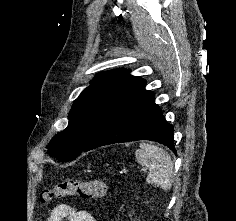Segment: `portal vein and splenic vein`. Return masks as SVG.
I'll list each match as a JSON object with an SVG mask.
<instances>
[{"instance_id": "portal-vein-and-splenic-vein-1", "label": "portal vein and splenic vein", "mask_w": 236, "mask_h": 221, "mask_svg": "<svg viewBox=\"0 0 236 221\" xmlns=\"http://www.w3.org/2000/svg\"><path fill=\"white\" fill-rule=\"evenodd\" d=\"M142 171H143V172H147V169L143 168Z\"/></svg>"}]
</instances>
